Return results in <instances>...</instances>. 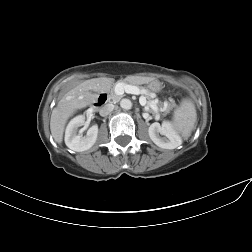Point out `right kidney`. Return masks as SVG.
I'll use <instances>...</instances> for the list:
<instances>
[{
	"label": "right kidney",
	"mask_w": 252,
	"mask_h": 252,
	"mask_svg": "<svg viewBox=\"0 0 252 252\" xmlns=\"http://www.w3.org/2000/svg\"><path fill=\"white\" fill-rule=\"evenodd\" d=\"M85 124V116L79 115L73 118L66 127L65 144L66 146L76 152H82L90 149L97 140L98 126L93 125L86 136H82L78 132V128Z\"/></svg>",
	"instance_id": "obj_1"
}]
</instances>
